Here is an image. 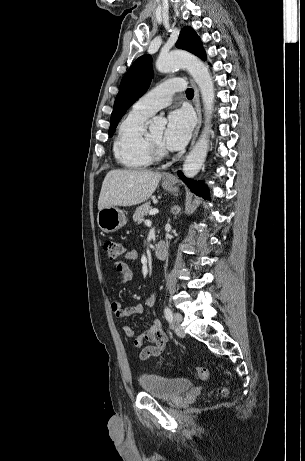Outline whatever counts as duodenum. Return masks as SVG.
Here are the masks:
<instances>
[{
  "instance_id": "410a0bca",
  "label": "duodenum",
  "mask_w": 305,
  "mask_h": 461,
  "mask_svg": "<svg viewBox=\"0 0 305 461\" xmlns=\"http://www.w3.org/2000/svg\"><path fill=\"white\" fill-rule=\"evenodd\" d=\"M167 252V244L163 241H160L156 244L153 254L157 261H163L167 256Z\"/></svg>"
}]
</instances>
